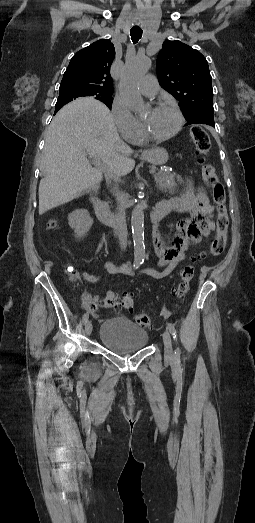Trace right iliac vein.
Masks as SVG:
<instances>
[{"instance_id":"1","label":"right iliac vein","mask_w":255,"mask_h":523,"mask_svg":"<svg viewBox=\"0 0 255 523\" xmlns=\"http://www.w3.org/2000/svg\"><path fill=\"white\" fill-rule=\"evenodd\" d=\"M85 332H86V334L88 336L91 335V333H92V323H91V321H87L85 323Z\"/></svg>"}]
</instances>
